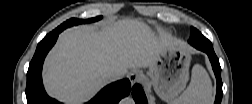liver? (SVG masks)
I'll return each mask as SVG.
<instances>
[{
  "label": "liver",
  "mask_w": 252,
  "mask_h": 104,
  "mask_svg": "<svg viewBox=\"0 0 252 104\" xmlns=\"http://www.w3.org/2000/svg\"><path fill=\"white\" fill-rule=\"evenodd\" d=\"M179 44L167 36H157L137 19H122L97 25L69 28L59 36L48 54L43 81L48 94L68 102H85L110 79L114 70L124 75L129 69L148 68L164 46Z\"/></svg>",
  "instance_id": "liver-1"
}]
</instances>
